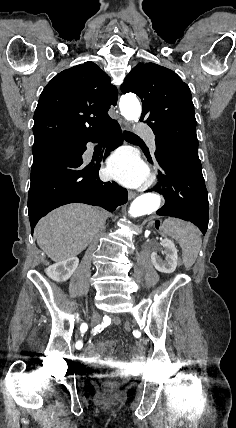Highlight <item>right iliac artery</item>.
<instances>
[{
  "instance_id": "82829eb1",
  "label": "right iliac artery",
  "mask_w": 236,
  "mask_h": 428,
  "mask_svg": "<svg viewBox=\"0 0 236 428\" xmlns=\"http://www.w3.org/2000/svg\"><path fill=\"white\" fill-rule=\"evenodd\" d=\"M87 328H88L87 324L86 323H82V325L80 327L81 333H85L87 331ZM75 347H76V349H81L83 347V343L81 341H78V342H76Z\"/></svg>"
}]
</instances>
